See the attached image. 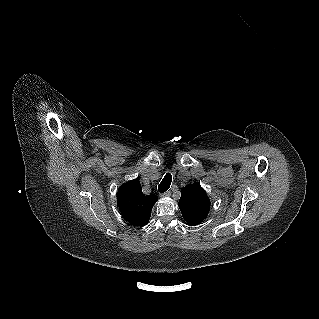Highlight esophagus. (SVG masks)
Returning a JSON list of instances; mask_svg holds the SVG:
<instances>
[{"instance_id":"obj_1","label":"esophagus","mask_w":319,"mask_h":319,"mask_svg":"<svg viewBox=\"0 0 319 319\" xmlns=\"http://www.w3.org/2000/svg\"><path fill=\"white\" fill-rule=\"evenodd\" d=\"M171 195L170 191H166L160 194V197L165 198V197H169Z\"/></svg>"}]
</instances>
